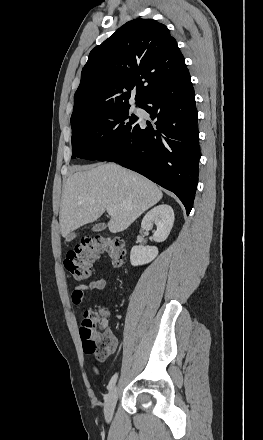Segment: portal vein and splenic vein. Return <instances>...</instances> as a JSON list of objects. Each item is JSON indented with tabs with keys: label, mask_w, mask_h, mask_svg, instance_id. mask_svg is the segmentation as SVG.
<instances>
[{
	"label": "portal vein and splenic vein",
	"mask_w": 263,
	"mask_h": 440,
	"mask_svg": "<svg viewBox=\"0 0 263 440\" xmlns=\"http://www.w3.org/2000/svg\"><path fill=\"white\" fill-rule=\"evenodd\" d=\"M114 209H115L114 205H107L106 207V210L109 214L113 213Z\"/></svg>",
	"instance_id": "1"
}]
</instances>
